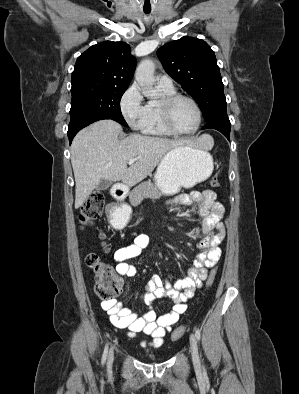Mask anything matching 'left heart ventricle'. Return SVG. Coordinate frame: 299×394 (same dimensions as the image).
Listing matches in <instances>:
<instances>
[{
	"label": "left heart ventricle",
	"mask_w": 299,
	"mask_h": 394,
	"mask_svg": "<svg viewBox=\"0 0 299 394\" xmlns=\"http://www.w3.org/2000/svg\"><path fill=\"white\" fill-rule=\"evenodd\" d=\"M172 121L180 131H190L197 123V113L187 100H179L172 109Z\"/></svg>",
	"instance_id": "b2bd125f"
}]
</instances>
